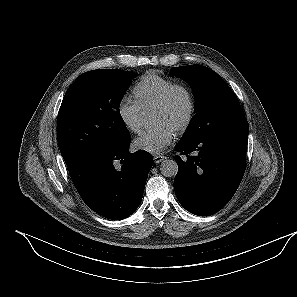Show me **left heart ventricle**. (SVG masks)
I'll use <instances>...</instances> for the list:
<instances>
[{
  "instance_id": "1",
  "label": "left heart ventricle",
  "mask_w": 297,
  "mask_h": 297,
  "mask_svg": "<svg viewBox=\"0 0 297 297\" xmlns=\"http://www.w3.org/2000/svg\"><path fill=\"white\" fill-rule=\"evenodd\" d=\"M186 111V99L182 93H177L169 109H154L153 122L155 124L166 123L176 129L178 123Z\"/></svg>"
}]
</instances>
